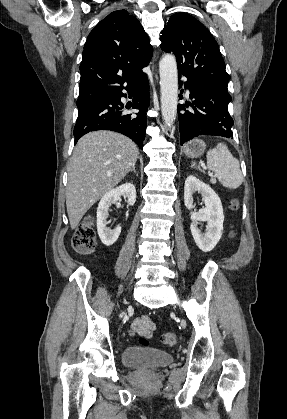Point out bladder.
I'll use <instances>...</instances> for the list:
<instances>
[{"mask_svg":"<svg viewBox=\"0 0 287 419\" xmlns=\"http://www.w3.org/2000/svg\"><path fill=\"white\" fill-rule=\"evenodd\" d=\"M123 363L134 369H152L170 364L172 355L145 346H128L122 354Z\"/></svg>","mask_w":287,"mask_h":419,"instance_id":"obj_1","label":"bladder"}]
</instances>
